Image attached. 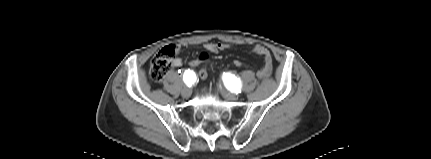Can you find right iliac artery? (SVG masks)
<instances>
[{
    "label": "right iliac artery",
    "mask_w": 431,
    "mask_h": 159,
    "mask_svg": "<svg viewBox=\"0 0 431 159\" xmlns=\"http://www.w3.org/2000/svg\"><path fill=\"white\" fill-rule=\"evenodd\" d=\"M195 78H196L195 73L190 69L186 70L183 74V81L186 83L187 86H191Z\"/></svg>",
    "instance_id": "1"
}]
</instances>
